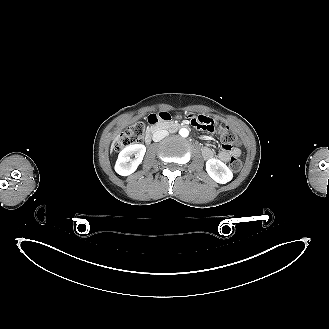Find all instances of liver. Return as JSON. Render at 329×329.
Instances as JSON below:
<instances>
[{
    "mask_svg": "<svg viewBox=\"0 0 329 329\" xmlns=\"http://www.w3.org/2000/svg\"><path fill=\"white\" fill-rule=\"evenodd\" d=\"M117 139H118V136L115 138L114 142L117 141ZM114 142H113V144H112V149H113V146H114ZM112 149H111V150H112Z\"/></svg>",
    "mask_w": 329,
    "mask_h": 329,
    "instance_id": "obj_1",
    "label": "liver"
}]
</instances>
